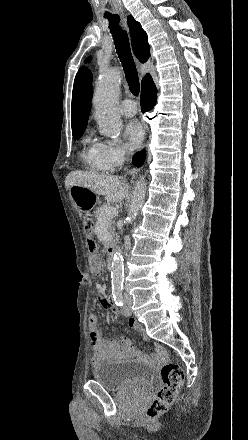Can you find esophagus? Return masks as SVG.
<instances>
[{
    "mask_svg": "<svg viewBox=\"0 0 248 440\" xmlns=\"http://www.w3.org/2000/svg\"><path fill=\"white\" fill-rule=\"evenodd\" d=\"M135 62H136V65H137V67L140 69L141 68V63L139 62V60L138 59H135ZM137 171V168H133L132 170H131V173H135Z\"/></svg>",
    "mask_w": 248,
    "mask_h": 440,
    "instance_id": "1",
    "label": "esophagus"
}]
</instances>
